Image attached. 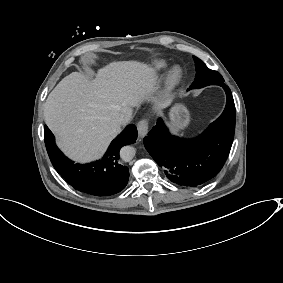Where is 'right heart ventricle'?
<instances>
[{
  "label": "right heart ventricle",
  "instance_id": "right-heart-ventricle-1",
  "mask_svg": "<svg viewBox=\"0 0 283 283\" xmlns=\"http://www.w3.org/2000/svg\"><path fill=\"white\" fill-rule=\"evenodd\" d=\"M169 67L165 59H156L147 65L139 74L138 84L143 85L152 81L155 77L162 74Z\"/></svg>",
  "mask_w": 283,
  "mask_h": 283
}]
</instances>
